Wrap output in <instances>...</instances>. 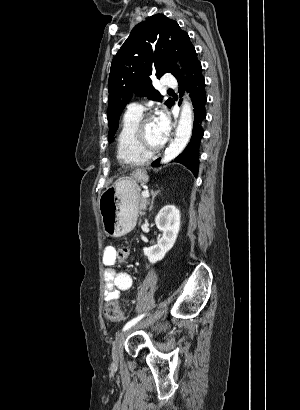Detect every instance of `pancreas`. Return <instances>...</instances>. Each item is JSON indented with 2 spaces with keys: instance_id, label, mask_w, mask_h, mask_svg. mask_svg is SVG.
<instances>
[{
  "instance_id": "cf45deb5",
  "label": "pancreas",
  "mask_w": 300,
  "mask_h": 410,
  "mask_svg": "<svg viewBox=\"0 0 300 410\" xmlns=\"http://www.w3.org/2000/svg\"><path fill=\"white\" fill-rule=\"evenodd\" d=\"M147 204H148L147 199H145V198H140L139 199V214H140V216L144 214V211L146 210Z\"/></svg>"
}]
</instances>
